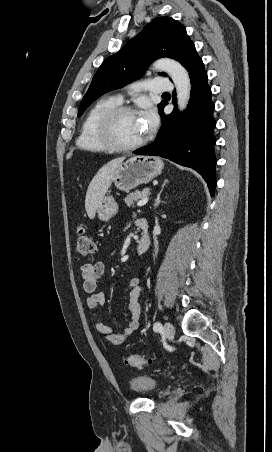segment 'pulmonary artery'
<instances>
[{"label":"pulmonary artery","instance_id":"obj_1","mask_svg":"<svg viewBox=\"0 0 272 452\" xmlns=\"http://www.w3.org/2000/svg\"><path fill=\"white\" fill-rule=\"evenodd\" d=\"M144 86L152 94H161L174 89L173 83L167 78H151L145 83ZM116 99L120 102L122 97L118 95L116 96Z\"/></svg>","mask_w":272,"mask_h":452}]
</instances>
